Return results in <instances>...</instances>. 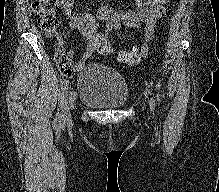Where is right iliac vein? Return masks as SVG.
<instances>
[{
  "mask_svg": "<svg viewBox=\"0 0 219 192\" xmlns=\"http://www.w3.org/2000/svg\"><path fill=\"white\" fill-rule=\"evenodd\" d=\"M76 95L74 92L65 90L64 102L61 108V120L65 121L70 117V106L74 104Z\"/></svg>",
  "mask_w": 219,
  "mask_h": 192,
  "instance_id": "obj_1",
  "label": "right iliac vein"
}]
</instances>
